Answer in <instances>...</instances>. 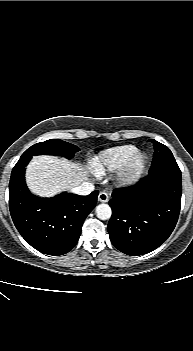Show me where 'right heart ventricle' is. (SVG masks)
Wrapping results in <instances>:
<instances>
[{"instance_id": "obj_1", "label": "right heart ventricle", "mask_w": 193, "mask_h": 351, "mask_svg": "<svg viewBox=\"0 0 193 351\" xmlns=\"http://www.w3.org/2000/svg\"><path fill=\"white\" fill-rule=\"evenodd\" d=\"M131 147H120L104 153L97 162L98 168L118 166L125 161L132 153Z\"/></svg>"}]
</instances>
